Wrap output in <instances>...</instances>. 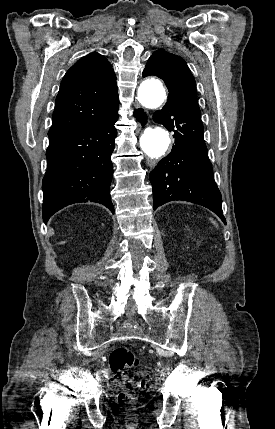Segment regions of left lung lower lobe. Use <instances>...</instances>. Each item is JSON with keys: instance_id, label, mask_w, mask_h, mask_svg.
<instances>
[{"instance_id": "left-lung-lower-lobe-1", "label": "left lung lower lobe", "mask_w": 275, "mask_h": 429, "mask_svg": "<svg viewBox=\"0 0 275 429\" xmlns=\"http://www.w3.org/2000/svg\"><path fill=\"white\" fill-rule=\"evenodd\" d=\"M153 119L174 132L175 138L171 152L150 172L153 209L169 201H188L207 207L226 224L221 193L203 139L200 109L192 103L167 101Z\"/></svg>"}]
</instances>
